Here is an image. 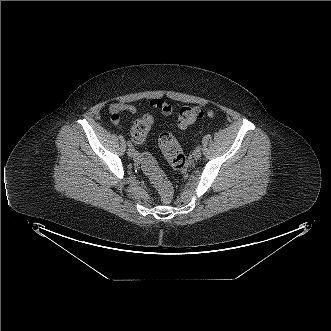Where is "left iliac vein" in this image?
<instances>
[{
  "instance_id": "4c4485c4",
  "label": "left iliac vein",
  "mask_w": 331,
  "mask_h": 331,
  "mask_svg": "<svg viewBox=\"0 0 331 331\" xmlns=\"http://www.w3.org/2000/svg\"><path fill=\"white\" fill-rule=\"evenodd\" d=\"M194 159H199L201 157V151L199 149H195L192 153Z\"/></svg>"
}]
</instances>
